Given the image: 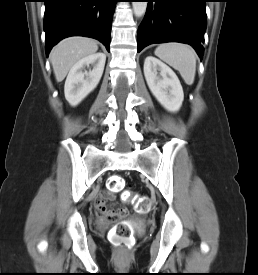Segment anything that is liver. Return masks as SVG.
<instances>
[{"label":"liver","mask_w":258,"mask_h":275,"mask_svg":"<svg viewBox=\"0 0 258 275\" xmlns=\"http://www.w3.org/2000/svg\"><path fill=\"white\" fill-rule=\"evenodd\" d=\"M98 50L97 42L86 37H70L58 43L50 53L57 82H61L75 63Z\"/></svg>","instance_id":"1"}]
</instances>
